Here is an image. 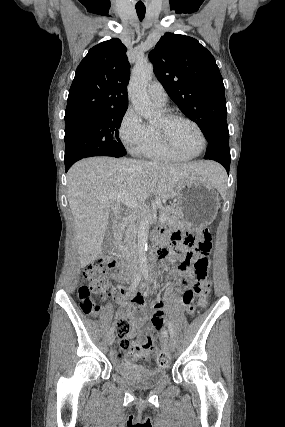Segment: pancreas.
<instances>
[{
    "instance_id": "pancreas-1",
    "label": "pancreas",
    "mask_w": 285,
    "mask_h": 427,
    "mask_svg": "<svg viewBox=\"0 0 285 427\" xmlns=\"http://www.w3.org/2000/svg\"><path fill=\"white\" fill-rule=\"evenodd\" d=\"M160 214H163L166 217V219L164 220V223H166V224L178 226L181 223V221L179 220V217L177 215V210L174 206H168L166 208H163L160 211Z\"/></svg>"
}]
</instances>
